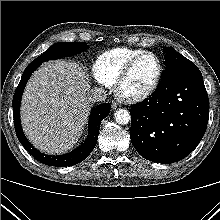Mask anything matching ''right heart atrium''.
<instances>
[{"instance_id": "1", "label": "right heart atrium", "mask_w": 220, "mask_h": 220, "mask_svg": "<svg viewBox=\"0 0 220 220\" xmlns=\"http://www.w3.org/2000/svg\"><path fill=\"white\" fill-rule=\"evenodd\" d=\"M96 77V76H95ZM97 81L100 82L101 84H104L106 85L105 83H103L101 80H99L97 77H96Z\"/></svg>"}]
</instances>
